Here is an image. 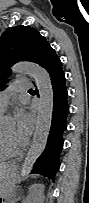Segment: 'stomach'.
Wrapping results in <instances>:
<instances>
[{
	"label": "stomach",
	"instance_id": "obj_1",
	"mask_svg": "<svg viewBox=\"0 0 89 203\" xmlns=\"http://www.w3.org/2000/svg\"><path fill=\"white\" fill-rule=\"evenodd\" d=\"M16 167L14 165L8 166L5 174L2 177L1 184L3 189V195L8 196L12 193L14 185L13 180L15 177Z\"/></svg>",
	"mask_w": 89,
	"mask_h": 203
}]
</instances>
